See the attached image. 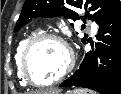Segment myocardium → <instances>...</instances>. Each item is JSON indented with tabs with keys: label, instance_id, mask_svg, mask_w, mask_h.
Instances as JSON below:
<instances>
[{
	"label": "myocardium",
	"instance_id": "f54148a6",
	"mask_svg": "<svg viewBox=\"0 0 121 94\" xmlns=\"http://www.w3.org/2000/svg\"><path fill=\"white\" fill-rule=\"evenodd\" d=\"M45 40H53L58 42L59 44H61L63 46V48L66 51L67 54V63L64 67V69L62 70V72L56 76L54 79H52L49 82L46 83H38L36 82L33 77L30 75L29 73V68H28V58L32 52V50L34 49V47ZM75 65V57H74V52L73 49L71 48V46L67 43V41L61 37L60 35L54 34V33H41L36 35L35 37H33L25 46L22 55H21V62H20V67H21V73L25 79V82L35 86V87H40V88H44V87H49L52 85H55L59 82H61L63 79H65L70 72L73 70Z\"/></svg>",
	"mask_w": 121,
	"mask_h": 94
}]
</instances>
